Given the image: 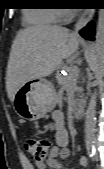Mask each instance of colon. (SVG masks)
Instances as JSON below:
<instances>
[{
	"instance_id": "obj_1",
	"label": "colon",
	"mask_w": 104,
	"mask_h": 169,
	"mask_svg": "<svg viewBox=\"0 0 104 169\" xmlns=\"http://www.w3.org/2000/svg\"><path fill=\"white\" fill-rule=\"evenodd\" d=\"M24 149L38 162L46 159L51 151V142L43 137L25 135L23 138Z\"/></svg>"
}]
</instances>
